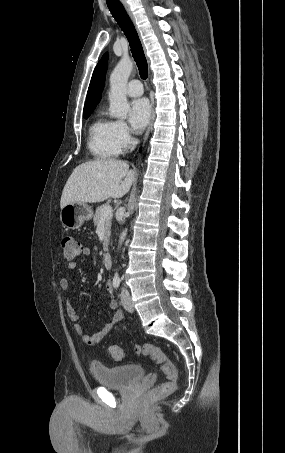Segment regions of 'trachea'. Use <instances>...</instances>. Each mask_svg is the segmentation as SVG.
Listing matches in <instances>:
<instances>
[{"mask_svg": "<svg viewBox=\"0 0 285 453\" xmlns=\"http://www.w3.org/2000/svg\"><path fill=\"white\" fill-rule=\"evenodd\" d=\"M107 6L128 39L132 56L137 64L139 74L142 79L148 77V65L142 49V45L137 31L128 16L124 6L119 0H107Z\"/></svg>", "mask_w": 285, "mask_h": 453, "instance_id": "3493384b", "label": "trachea"}]
</instances>
